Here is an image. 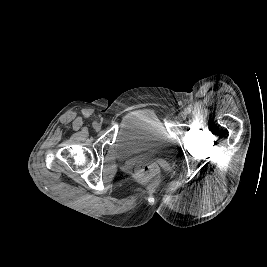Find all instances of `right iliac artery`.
Masks as SVG:
<instances>
[{
    "mask_svg": "<svg viewBox=\"0 0 267 267\" xmlns=\"http://www.w3.org/2000/svg\"><path fill=\"white\" fill-rule=\"evenodd\" d=\"M96 124H97L96 122H93V126H94V127H95Z\"/></svg>",
    "mask_w": 267,
    "mask_h": 267,
    "instance_id": "obj_1",
    "label": "right iliac artery"
}]
</instances>
